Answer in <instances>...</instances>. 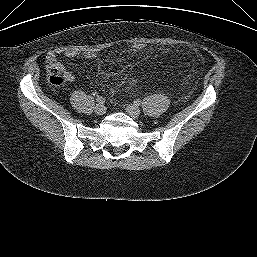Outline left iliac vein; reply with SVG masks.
Segmentation results:
<instances>
[{
    "instance_id": "obj_1",
    "label": "left iliac vein",
    "mask_w": 257,
    "mask_h": 257,
    "mask_svg": "<svg viewBox=\"0 0 257 257\" xmlns=\"http://www.w3.org/2000/svg\"><path fill=\"white\" fill-rule=\"evenodd\" d=\"M126 111L134 119L138 118L140 116V113H141L140 109L133 104L127 105L126 106Z\"/></svg>"
}]
</instances>
